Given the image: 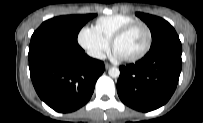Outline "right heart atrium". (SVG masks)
I'll use <instances>...</instances> for the list:
<instances>
[{
	"label": "right heart atrium",
	"instance_id": "obj_1",
	"mask_svg": "<svg viewBox=\"0 0 203 123\" xmlns=\"http://www.w3.org/2000/svg\"><path fill=\"white\" fill-rule=\"evenodd\" d=\"M79 45L88 55L95 59H101L109 49V41L102 37L94 27L84 26L77 37Z\"/></svg>",
	"mask_w": 203,
	"mask_h": 123
}]
</instances>
